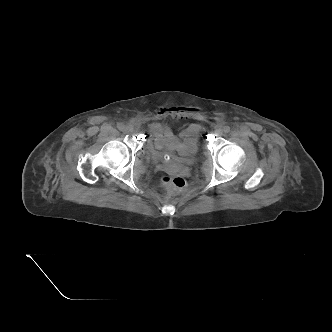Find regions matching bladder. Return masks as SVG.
I'll return each mask as SVG.
<instances>
[{
	"label": "bladder",
	"mask_w": 332,
	"mask_h": 332,
	"mask_svg": "<svg viewBox=\"0 0 332 332\" xmlns=\"http://www.w3.org/2000/svg\"><path fill=\"white\" fill-rule=\"evenodd\" d=\"M199 149H200V145L198 144V142H196L193 145L185 146L182 150H176V151H177L178 157L182 161H190L197 156V154L199 153ZM151 153H152L153 158L156 159L157 161L164 160L163 153H159V152H156L153 150H151Z\"/></svg>",
	"instance_id": "bladder-1"
}]
</instances>
